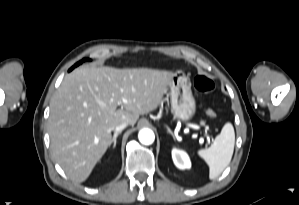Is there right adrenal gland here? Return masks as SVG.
<instances>
[{
  "label": "right adrenal gland",
  "mask_w": 299,
  "mask_h": 205,
  "mask_svg": "<svg viewBox=\"0 0 299 205\" xmlns=\"http://www.w3.org/2000/svg\"><path fill=\"white\" fill-rule=\"evenodd\" d=\"M121 134V132H116L111 140V144H113V149L116 147L117 137Z\"/></svg>",
  "instance_id": "obj_1"
}]
</instances>
